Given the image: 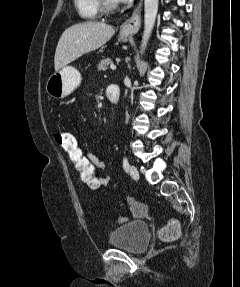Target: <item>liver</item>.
<instances>
[{"label":"liver","instance_id":"6515ba94","mask_svg":"<svg viewBox=\"0 0 240 287\" xmlns=\"http://www.w3.org/2000/svg\"><path fill=\"white\" fill-rule=\"evenodd\" d=\"M115 33L103 22L87 21L74 24L61 35L54 57L55 71H59L80 56L104 45Z\"/></svg>","mask_w":240,"mask_h":287}]
</instances>
